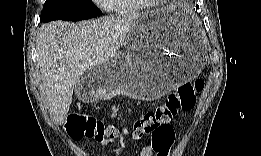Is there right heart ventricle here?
Segmentation results:
<instances>
[{"mask_svg":"<svg viewBox=\"0 0 261 156\" xmlns=\"http://www.w3.org/2000/svg\"><path fill=\"white\" fill-rule=\"evenodd\" d=\"M110 3L112 8L116 10H123L127 7L125 1L123 0H111Z\"/></svg>","mask_w":261,"mask_h":156,"instance_id":"right-heart-ventricle-1","label":"right heart ventricle"}]
</instances>
